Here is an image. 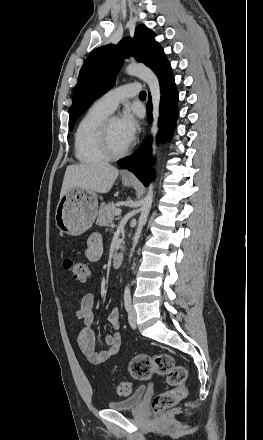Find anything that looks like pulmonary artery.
Listing matches in <instances>:
<instances>
[{"mask_svg":"<svg viewBox=\"0 0 263 440\" xmlns=\"http://www.w3.org/2000/svg\"><path fill=\"white\" fill-rule=\"evenodd\" d=\"M141 92L139 83L131 82L114 88L102 95L96 104L108 112H113L120 102L127 98L133 97Z\"/></svg>","mask_w":263,"mask_h":440,"instance_id":"e3ab8cb5","label":"pulmonary artery"}]
</instances>
